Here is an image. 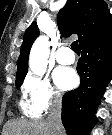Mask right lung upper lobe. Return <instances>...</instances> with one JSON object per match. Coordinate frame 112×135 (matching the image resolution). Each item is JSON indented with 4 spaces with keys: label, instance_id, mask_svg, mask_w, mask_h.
Returning a JSON list of instances; mask_svg holds the SVG:
<instances>
[{
    "label": "right lung upper lobe",
    "instance_id": "right-lung-upper-lobe-1",
    "mask_svg": "<svg viewBox=\"0 0 112 135\" xmlns=\"http://www.w3.org/2000/svg\"><path fill=\"white\" fill-rule=\"evenodd\" d=\"M57 21L62 36L77 34L80 46L112 30V16L103 0H67ZM38 35L39 29L34 21L24 34L16 79L25 77L29 52Z\"/></svg>",
    "mask_w": 112,
    "mask_h": 135
}]
</instances>
